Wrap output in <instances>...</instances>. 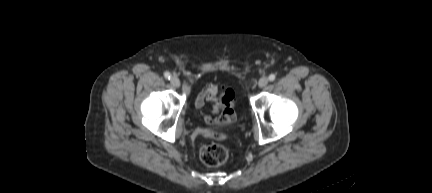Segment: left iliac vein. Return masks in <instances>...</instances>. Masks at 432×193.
<instances>
[{
  "instance_id": "obj_1",
  "label": "left iliac vein",
  "mask_w": 432,
  "mask_h": 193,
  "mask_svg": "<svg viewBox=\"0 0 432 193\" xmlns=\"http://www.w3.org/2000/svg\"><path fill=\"white\" fill-rule=\"evenodd\" d=\"M268 81L269 80L267 77L260 78V80L258 82L259 87H261V88L265 87L268 84Z\"/></svg>"
}]
</instances>
